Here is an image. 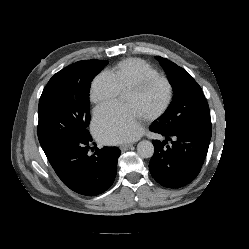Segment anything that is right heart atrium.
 <instances>
[{
	"label": "right heart atrium",
	"mask_w": 249,
	"mask_h": 249,
	"mask_svg": "<svg viewBox=\"0 0 249 249\" xmlns=\"http://www.w3.org/2000/svg\"><path fill=\"white\" fill-rule=\"evenodd\" d=\"M121 90L115 79L107 72L98 74L90 86V100L95 104H104L115 100Z\"/></svg>",
	"instance_id": "d8ad5b80"
}]
</instances>
